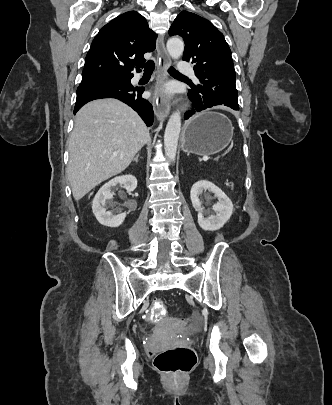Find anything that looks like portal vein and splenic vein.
Masks as SVG:
<instances>
[{"instance_id":"1","label":"portal vein and splenic vein","mask_w":332,"mask_h":405,"mask_svg":"<svg viewBox=\"0 0 332 405\" xmlns=\"http://www.w3.org/2000/svg\"><path fill=\"white\" fill-rule=\"evenodd\" d=\"M208 160V157H203V161H207Z\"/></svg>"}]
</instances>
